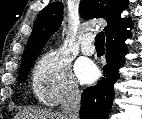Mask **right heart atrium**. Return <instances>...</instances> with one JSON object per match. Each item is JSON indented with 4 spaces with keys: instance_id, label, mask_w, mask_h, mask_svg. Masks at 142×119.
Instances as JSON below:
<instances>
[{
    "instance_id": "obj_1",
    "label": "right heart atrium",
    "mask_w": 142,
    "mask_h": 119,
    "mask_svg": "<svg viewBox=\"0 0 142 119\" xmlns=\"http://www.w3.org/2000/svg\"><path fill=\"white\" fill-rule=\"evenodd\" d=\"M32 89L36 98L49 106L80 95L70 65L59 50L48 51L38 59L32 71Z\"/></svg>"
}]
</instances>
